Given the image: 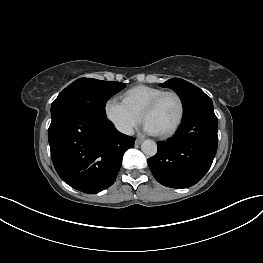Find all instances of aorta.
<instances>
[{"label":"aorta","mask_w":263,"mask_h":263,"mask_svg":"<svg viewBox=\"0 0 263 263\" xmlns=\"http://www.w3.org/2000/svg\"><path fill=\"white\" fill-rule=\"evenodd\" d=\"M141 150L145 155L152 157L157 153V144L153 140H145L141 144Z\"/></svg>","instance_id":"aorta-1"}]
</instances>
